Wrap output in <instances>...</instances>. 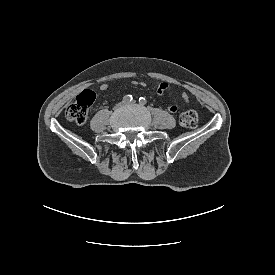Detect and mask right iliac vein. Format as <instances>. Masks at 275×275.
<instances>
[{"mask_svg": "<svg viewBox=\"0 0 275 275\" xmlns=\"http://www.w3.org/2000/svg\"><path fill=\"white\" fill-rule=\"evenodd\" d=\"M123 104V103H122ZM122 104H118L115 106V108H119Z\"/></svg>", "mask_w": 275, "mask_h": 275, "instance_id": "obj_1", "label": "right iliac vein"}]
</instances>
